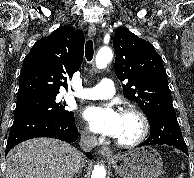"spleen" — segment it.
<instances>
[{
    "instance_id": "1",
    "label": "spleen",
    "mask_w": 194,
    "mask_h": 178,
    "mask_svg": "<svg viewBox=\"0 0 194 178\" xmlns=\"http://www.w3.org/2000/svg\"><path fill=\"white\" fill-rule=\"evenodd\" d=\"M181 168H182V170L185 168V166H184V164L182 163V165H181ZM183 177V173H181L180 175H179V178H182Z\"/></svg>"
}]
</instances>
